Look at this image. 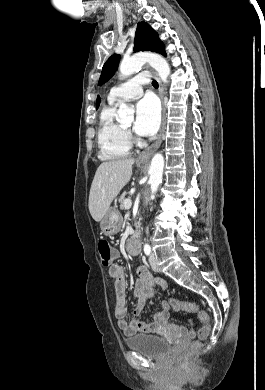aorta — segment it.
Listing matches in <instances>:
<instances>
[{
    "mask_svg": "<svg viewBox=\"0 0 265 390\" xmlns=\"http://www.w3.org/2000/svg\"><path fill=\"white\" fill-rule=\"evenodd\" d=\"M145 63H148L158 72L159 77L164 83L168 82L167 78L170 75L169 64L164 57L155 53H139L128 59H124L119 67L120 75L122 77H128L134 72L139 71ZM118 116L121 123H131L134 121V109L127 106L125 103H120ZM163 168V155L157 153L152 158L149 169V183L152 194L157 192L158 187L162 181Z\"/></svg>",
    "mask_w": 265,
    "mask_h": 390,
    "instance_id": "1",
    "label": "aorta"
}]
</instances>
